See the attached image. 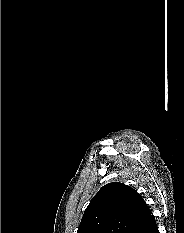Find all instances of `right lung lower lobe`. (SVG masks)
I'll return each instance as SVG.
<instances>
[{"mask_svg":"<svg viewBox=\"0 0 184 233\" xmlns=\"http://www.w3.org/2000/svg\"><path fill=\"white\" fill-rule=\"evenodd\" d=\"M133 233H159L154 216L151 214Z\"/></svg>","mask_w":184,"mask_h":233,"instance_id":"1","label":"right lung lower lobe"}]
</instances>
